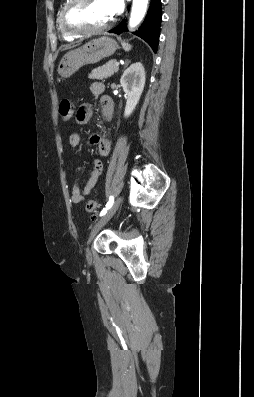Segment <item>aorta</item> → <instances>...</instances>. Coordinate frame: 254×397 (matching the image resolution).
<instances>
[{
    "instance_id": "1",
    "label": "aorta",
    "mask_w": 254,
    "mask_h": 397,
    "mask_svg": "<svg viewBox=\"0 0 254 397\" xmlns=\"http://www.w3.org/2000/svg\"><path fill=\"white\" fill-rule=\"evenodd\" d=\"M148 0H133L129 25L136 27L144 18L147 10Z\"/></svg>"
}]
</instances>
